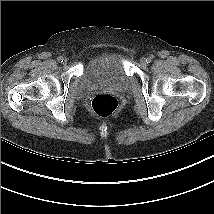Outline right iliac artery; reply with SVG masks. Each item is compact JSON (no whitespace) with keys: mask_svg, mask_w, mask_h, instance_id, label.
Here are the masks:
<instances>
[{"mask_svg":"<svg viewBox=\"0 0 214 214\" xmlns=\"http://www.w3.org/2000/svg\"><path fill=\"white\" fill-rule=\"evenodd\" d=\"M57 60H58L59 62H61V63H62L64 59H63V57H62V56H60V57H58V59H57Z\"/></svg>","mask_w":214,"mask_h":214,"instance_id":"obj_1","label":"right iliac artery"}]
</instances>
